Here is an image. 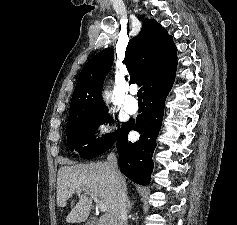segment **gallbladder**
<instances>
[{
  "mask_svg": "<svg viewBox=\"0 0 237 225\" xmlns=\"http://www.w3.org/2000/svg\"><path fill=\"white\" fill-rule=\"evenodd\" d=\"M85 225H97V220L96 219L88 220Z\"/></svg>",
  "mask_w": 237,
  "mask_h": 225,
  "instance_id": "gallbladder-1",
  "label": "gallbladder"
}]
</instances>
